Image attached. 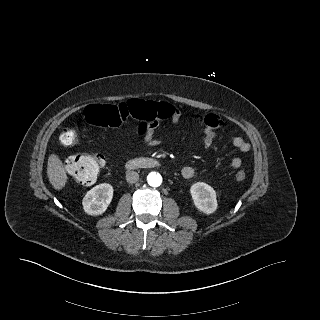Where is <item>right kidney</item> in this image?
Masks as SVG:
<instances>
[{
	"mask_svg": "<svg viewBox=\"0 0 320 320\" xmlns=\"http://www.w3.org/2000/svg\"><path fill=\"white\" fill-rule=\"evenodd\" d=\"M113 198V187L102 183L88 191L82 201L84 212L97 216L103 214Z\"/></svg>",
	"mask_w": 320,
	"mask_h": 320,
	"instance_id": "obj_1",
	"label": "right kidney"
}]
</instances>
